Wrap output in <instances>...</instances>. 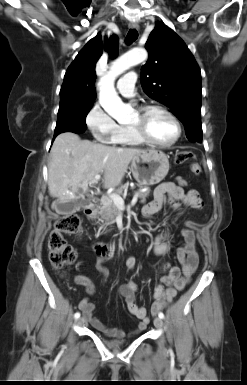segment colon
I'll list each match as a JSON object with an SVG mask.
<instances>
[{
	"label": "colon",
	"mask_w": 247,
	"mask_h": 385,
	"mask_svg": "<svg viewBox=\"0 0 247 385\" xmlns=\"http://www.w3.org/2000/svg\"><path fill=\"white\" fill-rule=\"evenodd\" d=\"M194 158V153L182 151L176 155L175 162L177 164L191 163ZM191 171L197 176L202 173V169L197 163L191 164ZM80 227L81 220L77 214L61 216L54 222L48 236L49 259L54 268L63 270L75 262L76 252L65 240V235L77 233Z\"/></svg>",
	"instance_id": "colon-1"
}]
</instances>
